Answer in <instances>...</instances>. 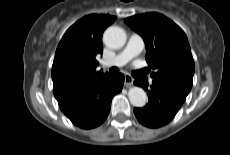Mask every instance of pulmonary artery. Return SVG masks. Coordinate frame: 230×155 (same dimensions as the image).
<instances>
[{
  "instance_id": "e3ab8cb5",
  "label": "pulmonary artery",
  "mask_w": 230,
  "mask_h": 155,
  "mask_svg": "<svg viewBox=\"0 0 230 155\" xmlns=\"http://www.w3.org/2000/svg\"><path fill=\"white\" fill-rule=\"evenodd\" d=\"M144 48V41L138 34L129 37L126 47L114 58L104 62V66H123L131 59L139 55Z\"/></svg>"
}]
</instances>
